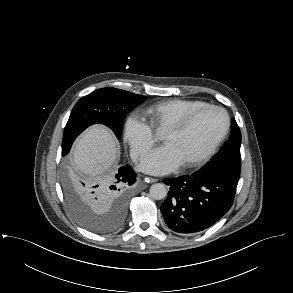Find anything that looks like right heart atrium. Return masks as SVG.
I'll return each mask as SVG.
<instances>
[{
  "instance_id": "obj_1",
  "label": "right heart atrium",
  "mask_w": 293,
  "mask_h": 293,
  "mask_svg": "<svg viewBox=\"0 0 293 293\" xmlns=\"http://www.w3.org/2000/svg\"><path fill=\"white\" fill-rule=\"evenodd\" d=\"M123 138L134 160H138L156 143L157 137L151 124L139 113L127 115L123 123Z\"/></svg>"
}]
</instances>
